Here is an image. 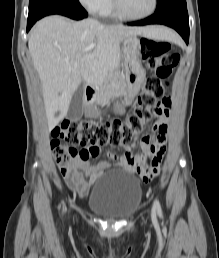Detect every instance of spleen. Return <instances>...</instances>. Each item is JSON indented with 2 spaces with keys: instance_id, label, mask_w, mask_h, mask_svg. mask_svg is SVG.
<instances>
[{
  "instance_id": "obj_1",
  "label": "spleen",
  "mask_w": 219,
  "mask_h": 258,
  "mask_svg": "<svg viewBox=\"0 0 219 258\" xmlns=\"http://www.w3.org/2000/svg\"><path fill=\"white\" fill-rule=\"evenodd\" d=\"M169 33H170V31H168V30L165 31V36H166L168 39H175V38H176V36H175V38H173L172 36H170Z\"/></svg>"
}]
</instances>
